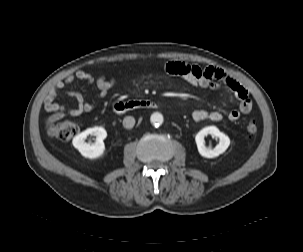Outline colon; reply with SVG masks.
<instances>
[{"instance_id": "obj_1", "label": "colon", "mask_w": 303, "mask_h": 252, "mask_svg": "<svg viewBox=\"0 0 303 252\" xmlns=\"http://www.w3.org/2000/svg\"><path fill=\"white\" fill-rule=\"evenodd\" d=\"M259 126L256 121H250L246 127L247 134L250 136L258 132ZM78 126L71 121H63L51 124L47 127V135L52 138L67 140L77 135Z\"/></svg>"}]
</instances>
